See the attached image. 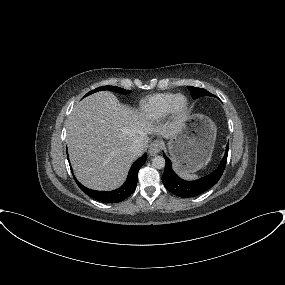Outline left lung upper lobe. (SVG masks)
<instances>
[{
	"mask_svg": "<svg viewBox=\"0 0 285 285\" xmlns=\"http://www.w3.org/2000/svg\"><path fill=\"white\" fill-rule=\"evenodd\" d=\"M187 88L191 91V95L193 99H197L202 96H214L215 97V95L211 94L210 92H208L207 90L203 88H196L193 86H187Z\"/></svg>",
	"mask_w": 285,
	"mask_h": 285,
	"instance_id": "left-lung-upper-lobe-1",
	"label": "left lung upper lobe"
}]
</instances>
